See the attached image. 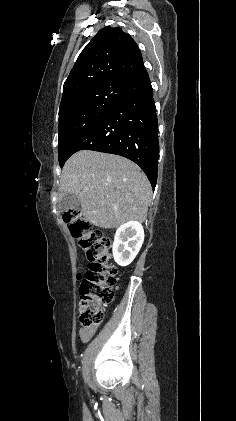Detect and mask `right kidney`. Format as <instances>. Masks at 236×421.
Returning <instances> with one entry per match:
<instances>
[{"mask_svg": "<svg viewBox=\"0 0 236 421\" xmlns=\"http://www.w3.org/2000/svg\"><path fill=\"white\" fill-rule=\"evenodd\" d=\"M144 241V229L137 221L124 223L116 231L113 243V257L120 267H127L138 255Z\"/></svg>", "mask_w": 236, "mask_h": 421, "instance_id": "obj_1", "label": "right kidney"}]
</instances>
